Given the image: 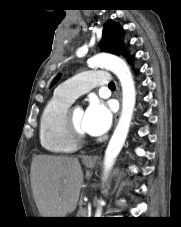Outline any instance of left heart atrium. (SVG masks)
Listing matches in <instances>:
<instances>
[{
  "label": "left heart atrium",
  "mask_w": 181,
  "mask_h": 227,
  "mask_svg": "<svg viewBox=\"0 0 181 227\" xmlns=\"http://www.w3.org/2000/svg\"><path fill=\"white\" fill-rule=\"evenodd\" d=\"M112 121V113L109 107L102 101L91 100L84 111L82 128L84 132L92 136L105 133Z\"/></svg>",
  "instance_id": "39dd6f15"
}]
</instances>
